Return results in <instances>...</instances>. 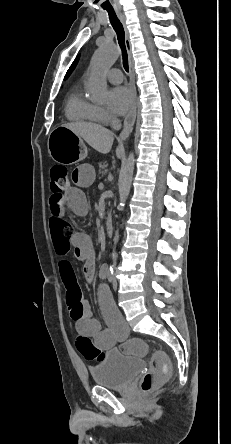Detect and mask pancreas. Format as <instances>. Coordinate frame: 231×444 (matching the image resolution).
I'll use <instances>...</instances> for the list:
<instances>
[{
  "instance_id": "cf45deb5",
  "label": "pancreas",
  "mask_w": 231,
  "mask_h": 444,
  "mask_svg": "<svg viewBox=\"0 0 231 444\" xmlns=\"http://www.w3.org/2000/svg\"><path fill=\"white\" fill-rule=\"evenodd\" d=\"M107 166L108 164L106 162H100L98 164V173L102 175L105 174L107 172Z\"/></svg>"
}]
</instances>
